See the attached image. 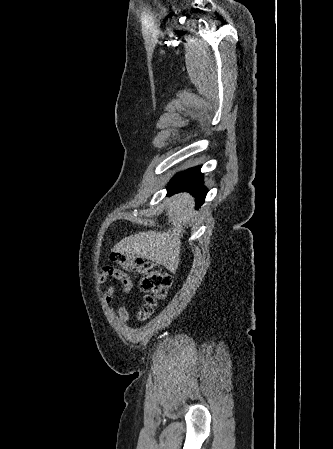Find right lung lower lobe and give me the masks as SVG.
Returning <instances> with one entry per match:
<instances>
[{"instance_id":"right-lung-lower-lobe-1","label":"right lung lower lobe","mask_w":333,"mask_h":449,"mask_svg":"<svg viewBox=\"0 0 333 449\" xmlns=\"http://www.w3.org/2000/svg\"><path fill=\"white\" fill-rule=\"evenodd\" d=\"M167 190L168 195L184 191L190 192L196 197L195 202L198 209L204 203L207 194V188L203 185V174L200 172V166L176 174L169 182Z\"/></svg>"}]
</instances>
